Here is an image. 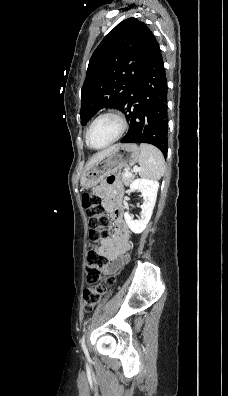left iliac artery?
I'll return each instance as SVG.
<instances>
[{
    "label": "left iliac artery",
    "instance_id": "1",
    "mask_svg": "<svg viewBox=\"0 0 228 396\" xmlns=\"http://www.w3.org/2000/svg\"><path fill=\"white\" fill-rule=\"evenodd\" d=\"M81 347H82L84 352H87V348H86V345H85V334L83 335L82 340H81Z\"/></svg>",
    "mask_w": 228,
    "mask_h": 396
}]
</instances>
